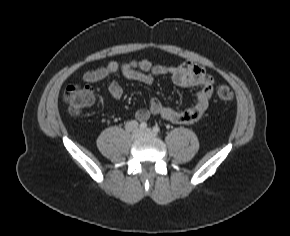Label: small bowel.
<instances>
[{
    "mask_svg": "<svg viewBox=\"0 0 290 236\" xmlns=\"http://www.w3.org/2000/svg\"><path fill=\"white\" fill-rule=\"evenodd\" d=\"M118 72L129 81L150 84L156 77L167 76L178 87L199 88L195 103L185 110H175L164 105L158 98H152L148 108L136 111L135 117L139 122H144L151 116H160L176 124L195 123L201 119L207 110L212 97V79L202 66L190 61H185L177 66H164L154 64L147 59L131 60L123 63L111 60L104 66L85 72L83 80L90 84L100 83ZM108 90L116 101H119L123 96V89L117 81H111Z\"/></svg>",
    "mask_w": 290,
    "mask_h": 236,
    "instance_id": "c3829d8e",
    "label": "small bowel"
}]
</instances>
